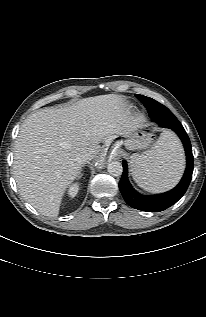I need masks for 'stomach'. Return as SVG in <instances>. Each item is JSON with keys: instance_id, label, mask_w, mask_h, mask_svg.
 Wrapping results in <instances>:
<instances>
[{"instance_id": "stomach-1", "label": "stomach", "mask_w": 206, "mask_h": 317, "mask_svg": "<svg viewBox=\"0 0 206 317\" xmlns=\"http://www.w3.org/2000/svg\"><path fill=\"white\" fill-rule=\"evenodd\" d=\"M125 137L126 140L124 141V145L129 150L144 149L149 145L150 142L149 134L140 130H134Z\"/></svg>"}]
</instances>
